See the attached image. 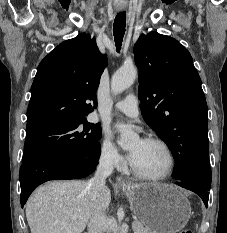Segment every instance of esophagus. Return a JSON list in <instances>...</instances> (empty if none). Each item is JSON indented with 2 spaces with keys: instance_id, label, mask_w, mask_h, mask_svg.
<instances>
[{
  "instance_id": "esophagus-1",
  "label": "esophagus",
  "mask_w": 227,
  "mask_h": 233,
  "mask_svg": "<svg viewBox=\"0 0 227 233\" xmlns=\"http://www.w3.org/2000/svg\"><path fill=\"white\" fill-rule=\"evenodd\" d=\"M117 184L122 187H127L129 186V183L123 178V177H118L117 178Z\"/></svg>"
}]
</instances>
